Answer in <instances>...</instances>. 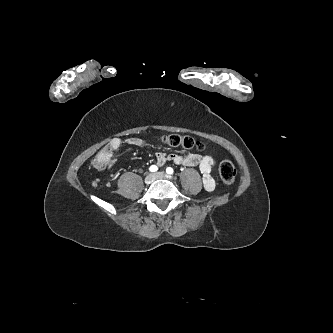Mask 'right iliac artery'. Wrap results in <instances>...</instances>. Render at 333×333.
<instances>
[{
    "mask_svg": "<svg viewBox=\"0 0 333 333\" xmlns=\"http://www.w3.org/2000/svg\"><path fill=\"white\" fill-rule=\"evenodd\" d=\"M149 170L151 172H156L158 170V167L156 165H152V166H150Z\"/></svg>",
    "mask_w": 333,
    "mask_h": 333,
    "instance_id": "obj_1",
    "label": "right iliac artery"
}]
</instances>
